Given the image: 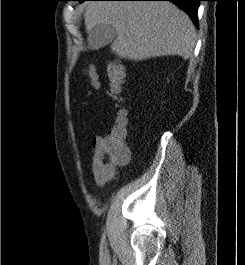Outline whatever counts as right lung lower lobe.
<instances>
[{
	"label": "right lung lower lobe",
	"instance_id": "right-lung-lower-lobe-1",
	"mask_svg": "<svg viewBox=\"0 0 245 265\" xmlns=\"http://www.w3.org/2000/svg\"><path fill=\"white\" fill-rule=\"evenodd\" d=\"M123 1H171L178 7L183 9L192 19L194 24L198 26L197 12L199 2L201 0H123Z\"/></svg>",
	"mask_w": 245,
	"mask_h": 265
}]
</instances>
